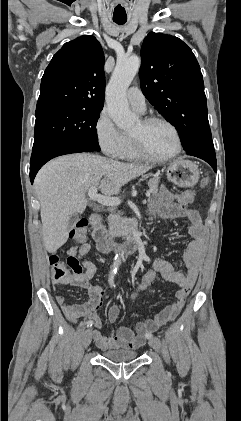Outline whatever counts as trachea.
I'll return each instance as SVG.
<instances>
[{"label":"trachea","instance_id":"trachea-1","mask_svg":"<svg viewBox=\"0 0 241 421\" xmlns=\"http://www.w3.org/2000/svg\"><path fill=\"white\" fill-rule=\"evenodd\" d=\"M113 21L118 25H123L126 23V19H113Z\"/></svg>","mask_w":241,"mask_h":421}]
</instances>
